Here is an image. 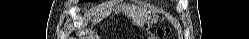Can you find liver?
Listing matches in <instances>:
<instances>
[{
	"label": "liver",
	"instance_id": "liver-1",
	"mask_svg": "<svg viewBox=\"0 0 249 39\" xmlns=\"http://www.w3.org/2000/svg\"><path fill=\"white\" fill-rule=\"evenodd\" d=\"M147 17V15H142L141 18L144 20Z\"/></svg>",
	"mask_w": 249,
	"mask_h": 39
}]
</instances>
